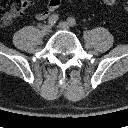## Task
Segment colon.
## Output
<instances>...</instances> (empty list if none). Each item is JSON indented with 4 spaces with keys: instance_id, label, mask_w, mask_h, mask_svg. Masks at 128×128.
<instances>
[{
    "instance_id": "colon-1",
    "label": "colon",
    "mask_w": 128,
    "mask_h": 128,
    "mask_svg": "<svg viewBox=\"0 0 128 128\" xmlns=\"http://www.w3.org/2000/svg\"><path fill=\"white\" fill-rule=\"evenodd\" d=\"M107 5L115 4L116 0H103ZM27 5V0H0V27L8 26L14 18L21 15ZM128 14V5L125 7Z\"/></svg>"
}]
</instances>
